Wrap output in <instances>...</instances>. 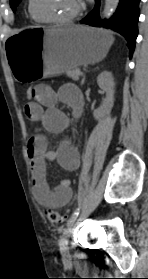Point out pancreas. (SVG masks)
<instances>
[{
    "label": "pancreas",
    "instance_id": "cf45deb5",
    "mask_svg": "<svg viewBox=\"0 0 148 279\" xmlns=\"http://www.w3.org/2000/svg\"><path fill=\"white\" fill-rule=\"evenodd\" d=\"M66 75L74 81H78L82 73L79 69H70L66 71Z\"/></svg>",
    "mask_w": 148,
    "mask_h": 279
}]
</instances>
